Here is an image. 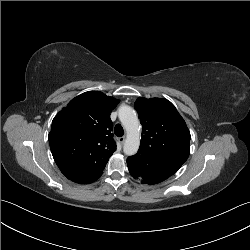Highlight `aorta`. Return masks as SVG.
<instances>
[{
    "instance_id": "762f6f07",
    "label": "aorta",
    "mask_w": 250,
    "mask_h": 250,
    "mask_svg": "<svg viewBox=\"0 0 250 250\" xmlns=\"http://www.w3.org/2000/svg\"><path fill=\"white\" fill-rule=\"evenodd\" d=\"M118 116L127 132L124 153L128 156L134 155L140 146V124L136 112L130 106H122Z\"/></svg>"
}]
</instances>
